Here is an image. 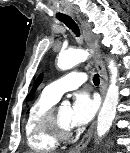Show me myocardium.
<instances>
[{
    "instance_id": "1",
    "label": "myocardium",
    "mask_w": 130,
    "mask_h": 153,
    "mask_svg": "<svg viewBox=\"0 0 130 153\" xmlns=\"http://www.w3.org/2000/svg\"><path fill=\"white\" fill-rule=\"evenodd\" d=\"M59 107L53 105L42 118L43 127L58 140L68 139L72 135V127H64L58 117Z\"/></svg>"
}]
</instances>
